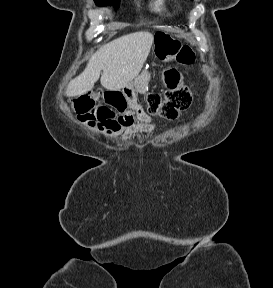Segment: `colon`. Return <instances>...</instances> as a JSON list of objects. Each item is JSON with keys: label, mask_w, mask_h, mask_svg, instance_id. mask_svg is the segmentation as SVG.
Instances as JSON below:
<instances>
[{"label": "colon", "mask_w": 273, "mask_h": 288, "mask_svg": "<svg viewBox=\"0 0 273 288\" xmlns=\"http://www.w3.org/2000/svg\"><path fill=\"white\" fill-rule=\"evenodd\" d=\"M155 46L157 57L163 61L181 65H190L195 61V54L189 46L167 35L158 34ZM163 80L166 87L164 94L149 93L146 97L147 110L151 115L174 121L190 105V90L176 68L165 69ZM72 108L78 119L91 127L118 130L130 127L136 121L135 113L129 109L120 91L100 90L97 95L83 94L73 101Z\"/></svg>", "instance_id": "obj_1"}]
</instances>
